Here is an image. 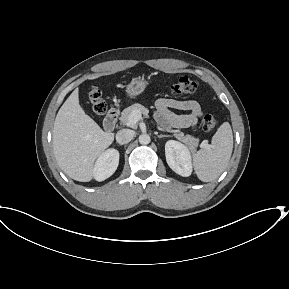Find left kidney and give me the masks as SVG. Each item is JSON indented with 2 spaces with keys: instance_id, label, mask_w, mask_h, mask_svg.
Here are the masks:
<instances>
[{
  "instance_id": "1",
  "label": "left kidney",
  "mask_w": 289,
  "mask_h": 289,
  "mask_svg": "<svg viewBox=\"0 0 289 289\" xmlns=\"http://www.w3.org/2000/svg\"><path fill=\"white\" fill-rule=\"evenodd\" d=\"M165 156L169 167L177 174L188 177L192 173L191 152L184 144L169 140L165 144Z\"/></svg>"
}]
</instances>
